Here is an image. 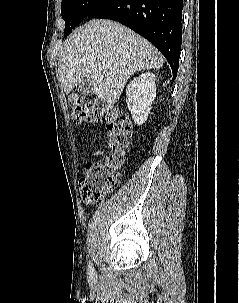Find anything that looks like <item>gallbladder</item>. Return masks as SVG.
Instances as JSON below:
<instances>
[{
    "label": "gallbladder",
    "instance_id": "gallbladder-1",
    "mask_svg": "<svg viewBox=\"0 0 239 303\" xmlns=\"http://www.w3.org/2000/svg\"><path fill=\"white\" fill-rule=\"evenodd\" d=\"M76 90L84 96H91L93 94L92 86L90 84V80L88 78L79 81L76 83Z\"/></svg>",
    "mask_w": 239,
    "mask_h": 303
}]
</instances>
